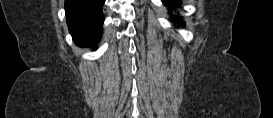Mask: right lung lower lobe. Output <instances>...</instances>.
<instances>
[{
	"instance_id": "98d812e1",
	"label": "right lung lower lobe",
	"mask_w": 273,
	"mask_h": 118,
	"mask_svg": "<svg viewBox=\"0 0 273 118\" xmlns=\"http://www.w3.org/2000/svg\"><path fill=\"white\" fill-rule=\"evenodd\" d=\"M105 0H65V13L69 31L76 45L93 46L101 39Z\"/></svg>"
}]
</instances>
